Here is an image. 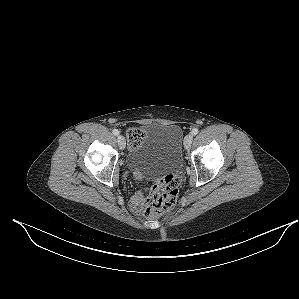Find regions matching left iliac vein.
<instances>
[{
    "mask_svg": "<svg viewBox=\"0 0 299 299\" xmlns=\"http://www.w3.org/2000/svg\"><path fill=\"white\" fill-rule=\"evenodd\" d=\"M192 141H193V136L192 134H188L186 135L185 139H184V146L186 149H189L191 144H192Z\"/></svg>",
    "mask_w": 299,
    "mask_h": 299,
    "instance_id": "4c4485c4",
    "label": "left iliac vein"
}]
</instances>
